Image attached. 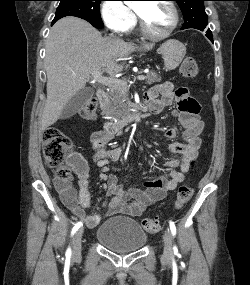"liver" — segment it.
Returning a JSON list of instances; mask_svg holds the SVG:
<instances>
[{"label":"liver","instance_id":"liver-1","mask_svg":"<svg viewBox=\"0 0 250 285\" xmlns=\"http://www.w3.org/2000/svg\"><path fill=\"white\" fill-rule=\"evenodd\" d=\"M153 44L138 47L118 38H103L88 22L65 17L50 30L46 42L45 69L47 100L40 129L54 124L67 102L85 87L90 75L106 71L115 75L122 71L125 58L137 49L151 50Z\"/></svg>","mask_w":250,"mask_h":285}]
</instances>
